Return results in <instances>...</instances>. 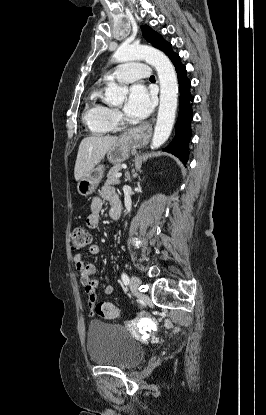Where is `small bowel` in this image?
I'll return each instance as SVG.
<instances>
[{"mask_svg": "<svg viewBox=\"0 0 266 415\" xmlns=\"http://www.w3.org/2000/svg\"><path fill=\"white\" fill-rule=\"evenodd\" d=\"M104 201H106L110 205V216L112 218H117L119 216L121 203L118 198V195L114 188L110 186H104L101 190V197H95L91 202V210L86 218V224L89 228L95 229L98 227L100 222V211ZM99 252L100 247L97 244H91L89 246V253L91 255H98ZM73 264L75 269L80 273V281L86 293L88 294L87 302L90 308V312L91 314H93V308L97 300L95 290L98 286V281L94 278L96 267L92 263H84L82 255L80 253L74 254ZM112 291V285L107 284L104 287V292L106 294H110L112 293Z\"/></svg>", "mask_w": 266, "mask_h": 415, "instance_id": "obj_1", "label": "small bowel"}]
</instances>
